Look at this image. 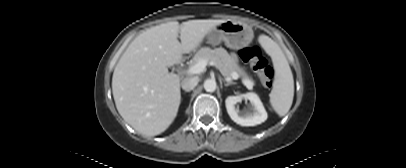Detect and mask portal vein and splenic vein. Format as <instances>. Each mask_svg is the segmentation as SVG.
Listing matches in <instances>:
<instances>
[{"label": "portal vein and splenic vein", "mask_w": 406, "mask_h": 168, "mask_svg": "<svg viewBox=\"0 0 406 168\" xmlns=\"http://www.w3.org/2000/svg\"><path fill=\"white\" fill-rule=\"evenodd\" d=\"M207 60L206 59H201L199 62H197L196 64H194L193 66H191L188 70H187V74L190 75H195V74H200L201 72H203L207 66ZM232 79H238V74L237 73H232L231 76ZM230 79V78H229ZM245 85L247 86V88L252 89L253 87V83H250L248 81L245 82Z\"/></svg>", "instance_id": "obj_1"}]
</instances>
